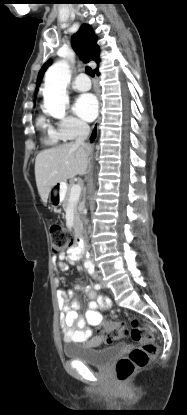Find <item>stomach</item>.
<instances>
[{
    "label": "stomach",
    "mask_w": 187,
    "mask_h": 415,
    "mask_svg": "<svg viewBox=\"0 0 187 415\" xmlns=\"http://www.w3.org/2000/svg\"><path fill=\"white\" fill-rule=\"evenodd\" d=\"M62 187L63 184H56L51 188L49 203L54 208H57L61 203Z\"/></svg>",
    "instance_id": "stomach-1"
}]
</instances>
